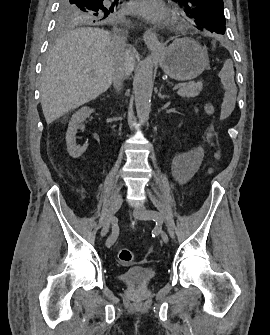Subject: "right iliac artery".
Here are the masks:
<instances>
[{
  "instance_id": "right-iliac-artery-1",
  "label": "right iliac artery",
  "mask_w": 270,
  "mask_h": 335,
  "mask_svg": "<svg viewBox=\"0 0 270 335\" xmlns=\"http://www.w3.org/2000/svg\"><path fill=\"white\" fill-rule=\"evenodd\" d=\"M119 235V227L117 224V219L115 217H113V221H112V232L110 237L106 240V246L110 247L114 244V242L116 241L117 237Z\"/></svg>"
}]
</instances>
